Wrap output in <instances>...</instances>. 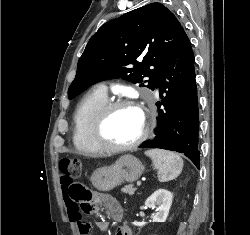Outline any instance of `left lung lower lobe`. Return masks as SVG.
<instances>
[{"label": "left lung lower lobe", "mask_w": 250, "mask_h": 235, "mask_svg": "<svg viewBox=\"0 0 250 235\" xmlns=\"http://www.w3.org/2000/svg\"><path fill=\"white\" fill-rule=\"evenodd\" d=\"M158 85L164 109L159 110L153 139L141 147L183 153L199 168V109L194 54L184 29L158 74L155 88ZM163 92L166 97H163ZM157 104L160 107L161 104Z\"/></svg>", "instance_id": "0a47b994"}]
</instances>
